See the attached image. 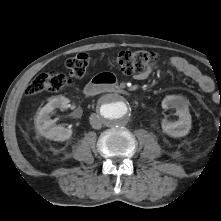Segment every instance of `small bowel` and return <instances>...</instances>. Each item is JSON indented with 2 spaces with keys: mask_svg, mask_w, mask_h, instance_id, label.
<instances>
[{
  "mask_svg": "<svg viewBox=\"0 0 221 221\" xmlns=\"http://www.w3.org/2000/svg\"><path fill=\"white\" fill-rule=\"evenodd\" d=\"M171 66L179 73L195 81L200 89L205 93L211 94V99L214 103H221L220 99L214 92L213 81L206 75H204L195 65L189 63L182 57H172L169 59ZM151 73V68L146 69L144 72L136 74L137 80H144L148 78Z\"/></svg>",
  "mask_w": 221,
  "mask_h": 221,
  "instance_id": "c3829d8e",
  "label": "small bowel"
}]
</instances>
